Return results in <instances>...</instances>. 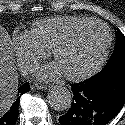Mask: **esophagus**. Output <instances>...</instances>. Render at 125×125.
<instances>
[{
  "label": "esophagus",
  "instance_id": "1",
  "mask_svg": "<svg viewBox=\"0 0 125 125\" xmlns=\"http://www.w3.org/2000/svg\"><path fill=\"white\" fill-rule=\"evenodd\" d=\"M36 87L39 90H47L48 89L47 85H42V84H39V83L36 84Z\"/></svg>",
  "mask_w": 125,
  "mask_h": 125
}]
</instances>
